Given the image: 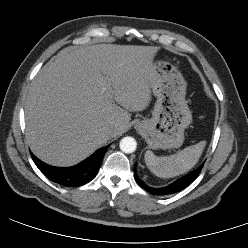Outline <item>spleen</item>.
Returning <instances> with one entry per match:
<instances>
[{
    "mask_svg": "<svg viewBox=\"0 0 248 248\" xmlns=\"http://www.w3.org/2000/svg\"><path fill=\"white\" fill-rule=\"evenodd\" d=\"M206 141L186 147L170 156H156L152 151H146L145 163L150 171L161 178H171L188 172L198 162Z\"/></svg>",
    "mask_w": 248,
    "mask_h": 248,
    "instance_id": "1",
    "label": "spleen"
}]
</instances>
